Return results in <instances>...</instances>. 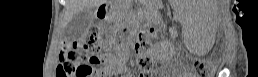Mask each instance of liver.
<instances>
[{
  "label": "liver",
  "mask_w": 258,
  "mask_h": 77,
  "mask_svg": "<svg viewBox=\"0 0 258 77\" xmlns=\"http://www.w3.org/2000/svg\"><path fill=\"white\" fill-rule=\"evenodd\" d=\"M104 2L106 0H65L64 25L66 26L82 10L100 6Z\"/></svg>",
  "instance_id": "1"
}]
</instances>
